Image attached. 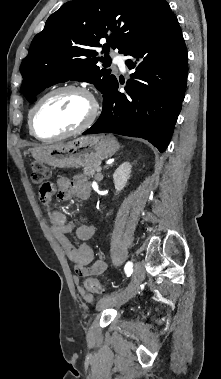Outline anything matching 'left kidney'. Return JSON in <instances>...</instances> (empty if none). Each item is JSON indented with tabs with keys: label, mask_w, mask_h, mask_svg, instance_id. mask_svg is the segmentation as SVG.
<instances>
[{
	"label": "left kidney",
	"mask_w": 221,
	"mask_h": 379,
	"mask_svg": "<svg viewBox=\"0 0 221 379\" xmlns=\"http://www.w3.org/2000/svg\"><path fill=\"white\" fill-rule=\"evenodd\" d=\"M131 164L129 162H124L121 164L113 174V181L115 185L116 192L119 193L126 186L131 173Z\"/></svg>",
	"instance_id": "obj_1"
}]
</instances>
